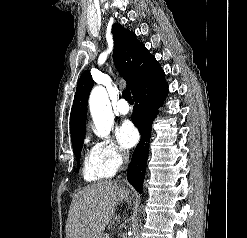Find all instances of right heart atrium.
<instances>
[{
    "label": "right heart atrium",
    "mask_w": 247,
    "mask_h": 238,
    "mask_svg": "<svg viewBox=\"0 0 247 238\" xmlns=\"http://www.w3.org/2000/svg\"><path fill=\"white\" fill-rule=\"evenodd\" d=\"M103 161L113 170L117 171L128 158L126 150L117 145L112 139L106 138L98 141L95 146Z\"/></svg>",
    "instance_id": "right-heart-atrium-1"
}]
</instances>
